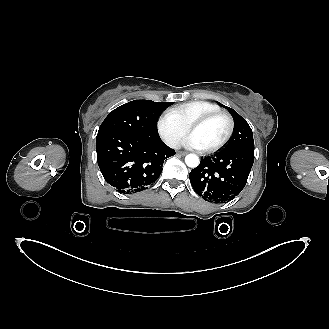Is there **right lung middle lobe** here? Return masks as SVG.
Listing matches in <instances>:
<instances>
[{
  "label": "right lung middle lobe",
  "instance_id": "obj_1",
  "mask_svg": "<svg viewBox=\"0 0 329 329\" xmlns=\"http://www.w3.org/2000/svg\"><path fill=\"white\" fill-rule=\"evenodd\" d=\"M173 103L150 100L128 102L107 115L98 133L115 131L159 139L157 120L163 110Z\"/></svg>",
  "mask_w": 329,
  "mask_h": 329
}]
</instances>
